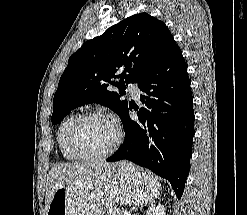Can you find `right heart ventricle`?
<instances>
[{"label":"right heart ventricle","instance_id":"right-heart-ventricle-1","mask_svg":"<svg viewBox=\"0 0 247 215\" xmlns=\"http://www.w3.org/2000/svg\"><path fill=\"white\" fill-rule=\"evenodd\" d=\"M77 117L76 114H71L67 117H65L59 127H58V131H57V143H58V147L60 150V153L62 155V157L67 160V161H76L78 160L77 158H75L70 150H69V146H68V132L69 129L73 123V121L75 120V118Z\"/></svg>","mask_w":247,"mask_h":215}]
</instances>
